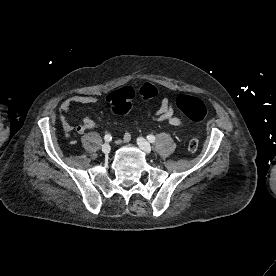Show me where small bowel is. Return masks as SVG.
I'll return each mask as SVG.
<instances>
[{
  "label": "small bowel",
  "mask_w": 276,
  "mask_h": 276,
  "mask_svg": "<svg viewBox=\"0 0 276 276\" xmlns=\"http://www.w3.org/2000/svg\"><path fill=\"white\" fill-rule=\"evenodd\" d=\"M101 101V97L97 95H74L66 98L60 105V120L66 130L72 129V124L68 119V112L73 104H96ZM153 120L157 122H165L172 126L183 127V121L176 115L171 99L168 96L162 98L158 110L153 115ZM95 127L94 120L88 115L82 117V122L76 127L79 134H83L87 130ZM131 140V134L125 132L124 135L117 140L118 144H125Z\"/></svg>",
  "instance_id": "c3829d8e"
}]
</instances>
